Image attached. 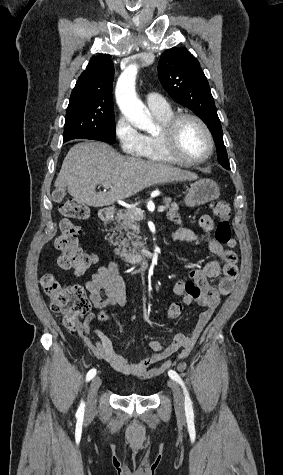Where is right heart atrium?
I'll use <instances>...</instances> for the list:
<instances>
[{
    "instance_id": "1",
    "label": "right heart atrium",
    "mask_w": 283,
    "mask_h": 475,
    "mask_svg": "<svg viewBox=\"0 0 283 475\" xmlns=\"http://www.w3.org/2000/svg\"><path fill=\"white\" fill-rule=\"evenodd\" d=\"M113 132L119 142L122 155H144L146 141L144 135L123 115H119L113 125Z\"/></svg>"
}]
</instances>
